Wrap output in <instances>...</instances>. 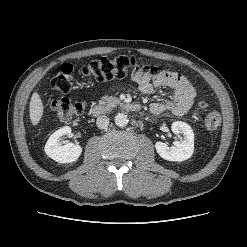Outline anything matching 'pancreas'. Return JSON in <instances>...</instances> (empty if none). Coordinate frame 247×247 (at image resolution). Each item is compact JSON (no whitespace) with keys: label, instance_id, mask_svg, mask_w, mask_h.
<instances>
[{"label":"pancreas","instance_id":"1","mask_svg":"<svg viewBox=\"0 0 247 247\" xmlns=\"http://www.w3.org/2000/svg\"><path fill=\"white\" fill-rule=\"evenodd\" d=\"M118 104H120V100L115 96L105 95L99 100V105L105 106L106 108L115 107Z\"/></svg>","mask_w":247,"mask_h":247}]
</instances>
